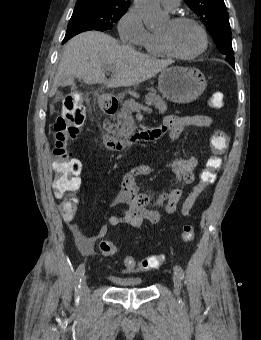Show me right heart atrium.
<instances>
[{
    "mask_svg": "<svg viewBox=\"0 0 261 340\" xmlns=\"http://www.w3.org/2000/svg\"><path fill=\"white\" fill-rule=\"evenodd\" d=\"M118 33L121 40L131 45H141L148 37L149 31L146 29L139 11L135 7H130L118 21Z\"/></svg>",
    "mask_w": 261,
    "mask_h": 340,
    "instance_id": "right-heart-atrium-1",
    "label": "right heart atrium"
}]
</instances>
